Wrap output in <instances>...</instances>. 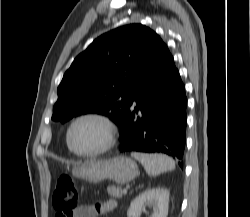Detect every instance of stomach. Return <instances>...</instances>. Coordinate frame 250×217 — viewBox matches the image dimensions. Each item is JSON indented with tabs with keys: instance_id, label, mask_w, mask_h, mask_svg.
<instances>
[{
	"instance_id": "1",
	"label": "stomach",
	"mask_w": 250,
	"mask_h": 217,
	"mask_svg": "<svg viewBox=\"0 0 250 217\" xmlns=\"http://www.w3.org/2000/svg\"><path fill=\"white\" fill-rule=\"evenodd\" d=\"M73 174L92 183L113 180L117 184L132 181L138 175V166L132 159L119 156L104 161H87L73 168Z\"/></svg>"
}]
</instances>
